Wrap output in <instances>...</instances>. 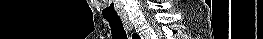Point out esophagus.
<instances>
[{
    "label": "esophagus",
    "instance_id": "1",
    "mask_svg": "<svg viewBox=\"0 0 263 39\" xmlns=\"http://www.w3.org/2000/svg\"><path fill=\"white\" fill-rule=\"evenodd\" d=\"M122 22H123L126 30H127L128 32H131L132 29H133V26H132L131 22L129 21V19H128L127 17H123V18H122Z\"/></svg>",
    "mask_w": 263,
    "mask_h": 39
}]
</instances>
